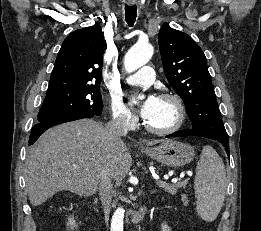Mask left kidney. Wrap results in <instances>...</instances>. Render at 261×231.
<instances>
[{"label": "left kidney", "mask_w": 261, "mask_h": 231, "mask_svg": "<svg viewBox=\"0 0 261 231\" xmlns=\"http://www.w3.org/2000/svg\"><path fill=\"white\" fill-rule=\"evenodd\" d=\"M161 231H171V229L168 227L167 224H162L161 225Z\"/></svg>", "instance_id": "1"}]
</instances>
